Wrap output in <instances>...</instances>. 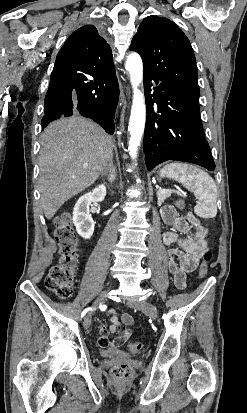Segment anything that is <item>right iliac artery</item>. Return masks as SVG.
<instances>
[{
	"mask_svg": "<svg viewBox=\"0 0 247 413\" xmlns=\"http://www.w3.org/2000/svg\"><path fill=\"white\" fill-rule=\"evenodd\" d=\"M89 310H92V308L89 307V308L84 309V310L82 311L81 317H83ZM102 310H105V309L102 308Z\"/></svg>",
	"mask_w": 247,
	"mask_h": 413,
	"instance_id": "1",
	"label": "right iliac artery"
}]
</instances>
